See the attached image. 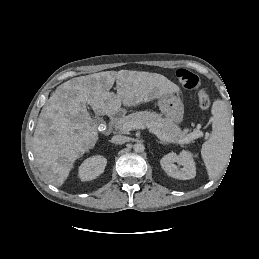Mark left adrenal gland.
<instances>
[{"label": "left adrenal gland", "instance_id": "obj_1", "mask_svg": "<svg viewBox=\"0 0 259 259\" xmlns=\"http://www.w3.org/2000/svg\"><path fill=\"white\" fill-rule=\"evenodd\" d=\"M158 143H160V144H167L166 142H163V141H158Z\"/></svg>", "mask_w": 259, "mask_h": 259}]
</instances>
